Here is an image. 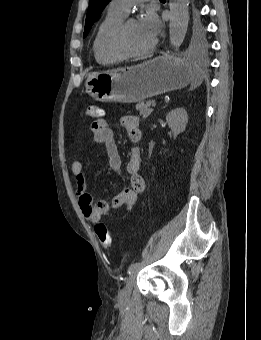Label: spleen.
Returning a JSON list of instances; mask_svg holds the SVG:
<instances>
[{
  "label": "spleen",
  "instance_id": "1",
  "mask_svg": "<svg viewBox=\"0 0 261 340\" xmlns=\"http://www.w3.org/2000/svg\"><path fill=\"white\" fill-rule=\"evenodd\" d=\"M200 83H201V77H200L199 72L196 71L195 77L193 78V81H192V86L197 87L200 85Z\"/></svg>",
  "mask_w": 261,
  "mask_h": 340
}]
</instances>
